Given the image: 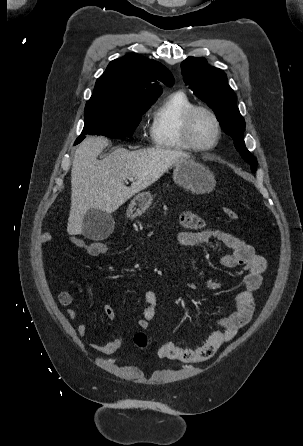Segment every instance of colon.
Returning <instances> with one entry per match:
<instances>
[{"instance_id":"obj_1","label":"colon","mask_w":303,"mask_h":446,"mask_svg":"<svg viewBox=\"0 0 303 446\" xmlns=\"http://www.w3.org/2000/svg\"><path fill=\"white\" fill-rule=\"evenodd\" d=\"M223 213L232 221L238 220V213L229 207L223 208ZM91 248L88 251V254H90L93 257H101L104 254H106L108 250V244L103 241L93 242L91 243ZM134 342L135 344L140 348H145L148 345V339L147 336L144 333H137L134 336Z\"/></svg>"}]
</instances>
